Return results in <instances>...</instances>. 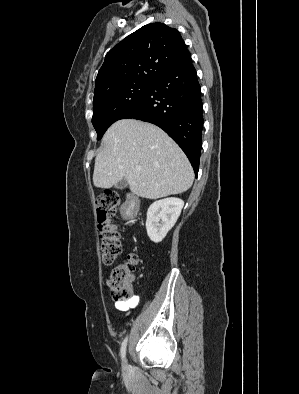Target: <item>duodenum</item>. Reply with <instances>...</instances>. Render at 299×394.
<instances>
[{
    "mask_svg": "<svg viewBox=\"0 0 299 394\" xmlns=\"http://www.w3.org/2000/svg\"><path fill=\"white\" fill-rule=\"evenodd\" d=\"M139 209V203L136 197L130 196L127 203L124 206V216L127 219H132L136 216Z\"/></svg>",
    "mask_w": 299,
    "mask_h": 394,
    "instance_id": "duodenum-1",
    "label": "duodenum"
}]
</instances>
